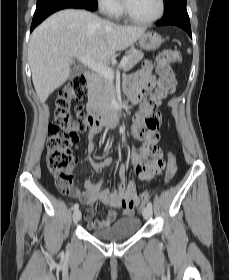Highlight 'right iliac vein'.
<instances>
[{
  "label": "right iliac vein",
  "mask_w": 229,
  "mask_h": 280,
  "mask_svg": "<svg viewBox=\"0 0 229 280\" xmlns=\"http://www.w3.org/2000/svg\"><path fill=\"white\" fill-rule=\"evenodd\" d=\"M81 219V211L79 209L75 210L73 213L74 223L78 222Z\"/></svg>",
  "instance_id": "right-iliac-vein-1"
}]
</instances>
